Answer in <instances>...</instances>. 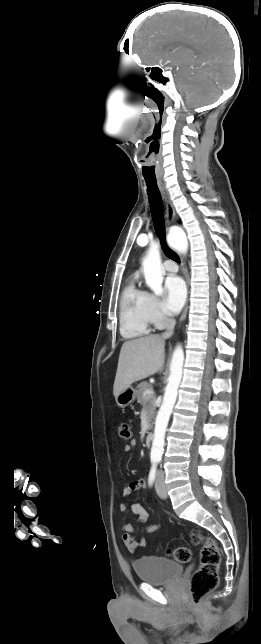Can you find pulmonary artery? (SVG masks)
I'll list each match as a JSON object with an SVG mask.
<instances>
[{
    "label": "pulmonary artery",
    "instance_id": "obj_1",
    "mask_svg": "<svg viewBox=\"0 0 261 644\" xmlns=\"http://www.w3.org/2000/svg\"><path fill=\"white\" fill-rule=\"evenodd\" d=\"M164 269L169 272H176L178 270V267L174 261L167 260L164 262Z\"/></svg>",
    "mask_w": 261,
    "mask_h": 644
}]
</instances>
